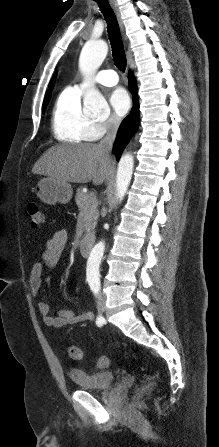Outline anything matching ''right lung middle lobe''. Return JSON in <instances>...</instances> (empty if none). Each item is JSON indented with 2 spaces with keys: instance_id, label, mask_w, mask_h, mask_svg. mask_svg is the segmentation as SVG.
<instances>
[{
  "instance_id": "1",
  "label": "right lung middle lobe",
  "mask_w": 219,
  "mask_h": 447,
  "mask_svg": "<svg viewBox=\"0 0 219 447\" xmlns=\"http://www.w3.org/2000/svg\"><path fill=\"white\" fill-rule=\"evenodd\" d=\"M49 99H50V98H47V99L44 100V102H43V108H45V106L47 105Z\"/></svg>"
}]
</instances>
